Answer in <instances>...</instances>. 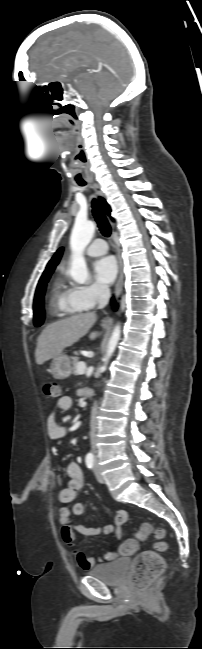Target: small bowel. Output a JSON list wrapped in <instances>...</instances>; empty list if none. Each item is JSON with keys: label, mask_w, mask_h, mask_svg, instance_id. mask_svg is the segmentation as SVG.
<instances>
[{"label": "small bowel", "mask_w": 202, "mask_h": 649, "mask_svg": "<svg viewBox=\"0 0 202 649\" xmlns=\"http://www.w3.org/2000/svg\"><path fill=\"white\" fill-rule=\"evenodd\" d=\"M72 398L70 396L61 397L55 406V410L68 411L72 407ZM52 411L46 422L47 433L49 437L53 440H59L66 437L69 434V429L65 426H61L56 421V412ZM66 473L68 476L67 485L59 493V500L63 503V506L60 508L59 512V522L61 524V534L64 541L69 546H75L77 543L76 534H80L84 537H94L101 533L105 535H114L117 539H120L122 536L121 526L127 521L128 513L125 510H120L117 512L114 521L112 524H106L102 529L98 527H86L82 525L74 524L71 521V515H82L84 513L85 507L82 503H75L72 508L68 505L76 499L77 493L82 489L84 485V475L80 465L77 462H70L66 467ZM75 558L78 565L84 569L88 570L92 568L97 562H108L116 559L120 554H124L122 551V546L119 549H111L107 553L95 558L88 557L83 552L74 550Z\"/></svg>", "instance_id": "1"}]
</instances>
